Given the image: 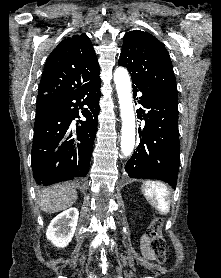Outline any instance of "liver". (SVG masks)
I'll list each match as a JSON object with an SVG mask.
<instances>
[{
  "instance_id": "liver-1",
  "label": "liver",
  "mask_w": 221,
  "mask_h": 278,
  "mask_svg": "<svg viewBox=\"0 0 221 278\" xmlns=\"http://www.w3.org/2000/svg\"><path fill=\"white\" fill-rule=\"evenodd\" d=\"M77 200V191L70 184L55 185L42 191L39 196L41 210L56 213L72 206Z\"/></svg>"
}]
</instances>
